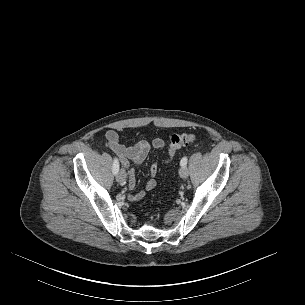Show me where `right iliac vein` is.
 Listing matches in <instances>:
<instances>
[{"mask_svg":"<svg viewBox=\"0 0 305 305\" xmlns=\"http://www.w3.org/2000/svg\"><path fill=\"white\" fill-rule=\"evenodd\" d=\"M116 180L120 183V184H124L125 180H126V172L124 169H121L117 175H116Z\"/></svg>","mask_w":305,"mask_h":305,"instance_id":"63e3f726","label":"right iliac vein"}]
</instances>
